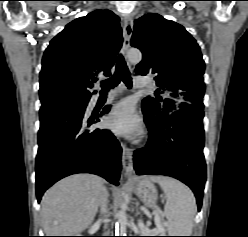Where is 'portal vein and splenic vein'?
Wrapping results in <instances>:
<instances>
[{
	"label": "portal vein and splenic vein",
	"mask_w": 248,
	"mask_h": 237,
	"mask_svg": "<svg viewBox=\"0 0 248 237\" xmlns=\"http://www.w3.org/2000/svg\"><path fill=\"white\" fill-rule=\"evenodd\" d=\"M160 210L158 209L157 212L155 213V224L157 226L158 229H160L162 227V222H161V218L159 216ZM139 226L142 228H145L143 223H139Z\"/></svg>",
	"instance_id": "1"
}]
</instances>
